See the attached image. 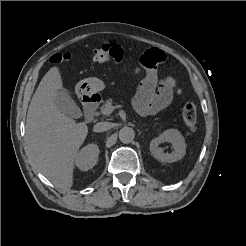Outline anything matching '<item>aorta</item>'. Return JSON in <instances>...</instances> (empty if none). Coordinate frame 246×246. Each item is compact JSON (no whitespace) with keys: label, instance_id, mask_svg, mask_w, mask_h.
<instances>
[{"label":"aorta","instance_id":"1","mask_svg":"<svg viewBox=\"0 0 246 246\" xmlns=\"http://www.w3.org/2000/svg\"><path fill=\"white\" fill-rule=\"evenodd\" d=\"M135 137V132L130 127H123L119 131V139L122 143H130Z\"/></svg>","mask_w":246,"mask_h":246}]
</instances>
